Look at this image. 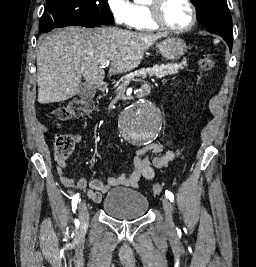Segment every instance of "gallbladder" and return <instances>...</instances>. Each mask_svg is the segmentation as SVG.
<instances>
[{
  "label": "gallbladder",
  "instance_id": "gallbladder-1",
  "mask_svg": "<svg viewBox=\"0 0 256 267\" xmlns=\"http://www.w3.org/2000/svg\"><path fill=\"white\" fill-rule=\"evenodd\" d=\"M96 86L94 84H88V82H84V84H81L79 86V92L78 96L79 98H82V100H85V102H88V100H92L96 94Z\"/></svg>",
  "mask_w": 256,
  "mask_h": 267
}]
</instances>
